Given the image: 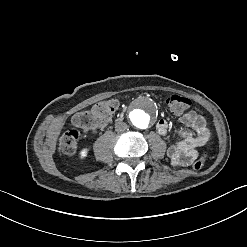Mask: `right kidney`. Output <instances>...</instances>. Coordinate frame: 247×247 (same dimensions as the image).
Masks as SVG:
<instances>
[{
	"mask_svg": "<svg viewBox=\"0 0 247 247\" xmlns=\"http://www.w3.org/2000/svg\"><path fill=\"white\" fill-rule=\"evenodd\" d=\"M89 149L87 147L81 148L78 153L79 160H84L88 156Z\"/></svg>",
	"mask_w": 247,
	"mask_h": 247,
	"instance_id": "ca27d5eb",
	"label": "right kidney"
}]
</instances>
